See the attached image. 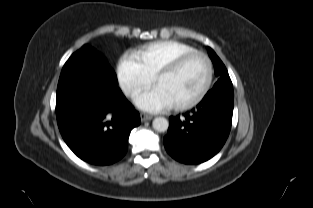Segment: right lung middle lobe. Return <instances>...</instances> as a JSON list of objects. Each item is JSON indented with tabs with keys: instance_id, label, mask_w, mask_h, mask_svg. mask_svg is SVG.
Returning a JSON list of instances; mask_svg holds the SVG:
<instances>
[{
	"instance_id": "dd1d6c3e",
	"label": "right lung middle lobe",
	"mask_w": 313,
	"mask_h": 208,
	"mask_svg": "<svg viewBox=\"0 0 313 208\" xmlns=\"http://www.w3.org/2000/svg\"><path fill=\"white\" fill-rule=\"evenodd\" d=\"M90 52V53H93L95 54V50L87 45H84L79 51L75 52L71 57H70V60H72L74 57H76V55L79 53V52Z\"/></svg>"
}]
</instances>
